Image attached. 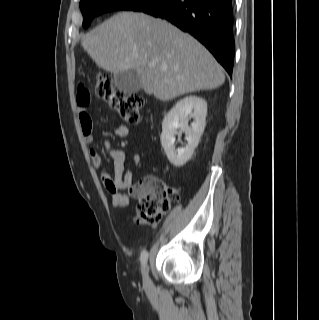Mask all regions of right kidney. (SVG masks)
Returning a JSON list of instances; mask_svg holds the SVG:
<instances>
[{
  "label": "right kidney",
  "instance_id": "ca27d5eb",
  "mask_svg": "<svg viewBox=\"0 0 319 320\" xmlns=\"http://www.w3.org/2000/svg\"><path fill=\"white\" fill-rule=\"evenodd\" d=\"M206 115V101L201 97L188 96L179 100L164 117L160 139L171 164L181 167L191 159L204 132ZM191 117L194 118V122L189 126L188 121ZM182 132L186 134L185 139L188 143L184 148L176 149L175 135Z\"/></svg>",
  "mask_w": 319,
  "mask_h": 320
}]
</instances>
